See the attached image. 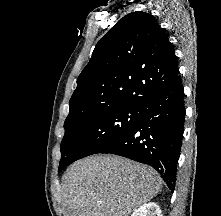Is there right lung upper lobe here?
Masks as SVG:
<instances>
[{"label":"right lung upper lobe","mask_w":221,"mask_h":216,"mask_svg":"<svg viewBox=\"0 0 221 216\" xmlns=\"http://www.w3.org/2000/svg\"><path fill=\"white\" fill-rule=\"evenodd\" d=\"M178 74L164 29L148 13H130L97 43L77 79L64 126L100 111L139 107Z\"/></svg>","instance_id":"cb5924a9"}]
</instances>
